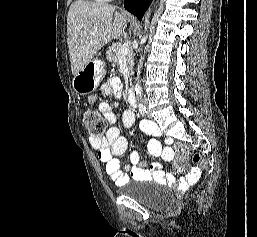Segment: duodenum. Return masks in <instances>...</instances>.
Wrapping results in <instances>:
<instances>
[{"mask_svg": "<svg viewBox=\"0 0 257 237\" xmlns=\"http://www.w3.org/2000/svg\"><path fill=\"white\" fill-rule=\"evenodd\" d=\"M127 99L128 102L132 105L135 106L136 105V99H135V93L133 89H129L127 92Z\"/></svg>", "mask_w": 257, "mask_h": 237, "instance_id": "1", "label": "duodenum"}]
</instances>
